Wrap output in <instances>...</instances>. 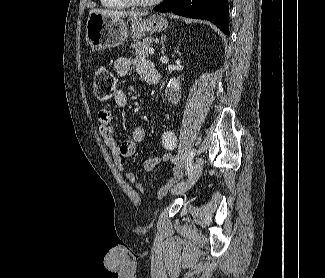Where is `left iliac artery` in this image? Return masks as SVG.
Segmentation results:
<instances>
[{"label":"left iliac artery","instance_id":"obj_1","mask_svg":"<svg viewBox=\"0 0 325 278\" xmlns=\"http://www.w3.org/2000/svg\"><path fill=\"white\" fill-rule=\"evenodd\" d=\"M195 152H196V150H193V151L191 152L190 156H189V161H188V164H187V174H188V176L191 175L192 170H193L192 159H193V157H194V155H195Z\"/></svg>","mask_w":325,"mask_h":278}]
</instances>
